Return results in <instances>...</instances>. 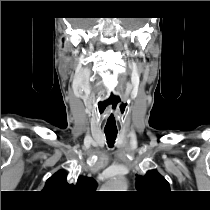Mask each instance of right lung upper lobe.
I'll return each mask as SVG.
<instances>
[{"label": "right lung upper lobe", "instance_id": "1", "mask_svg": "<svg viewBox=\"0 0 210 210\" xmlns=\"http://www.w3.org/2000/svg\"><path fill=\"white\" fill-rule=\"evenodd\" d=\"M66 178L65 171L56 172L46 181L43 191L55 198L66 199L74 196L79 191H91L96 187V183L91 177L80 176L74 183H68Z\"/></svg>", "mask_w": 210, "mask_h": 210}]
</instances>
